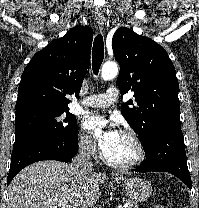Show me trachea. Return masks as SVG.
I'll return each mask as SVG.
<instances>
[{
	"label": "trachea",
	"mask_w": 199,
	"mask_h": 208,
	"mask_svg": "<svg viewBox=\"0 0 199 208\" xmlns=\"http://www.w3.org/2000/svg\"><path fill=\"white\" fill-rule=\"evenodd\" d=\"M104 59V42L101 34L95 37L92 52V70L95 75H98L100 66Z\"/></svg>",
	"instance_id": "3493384b"
}]
</instances>
